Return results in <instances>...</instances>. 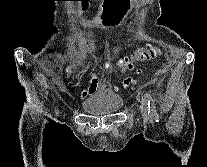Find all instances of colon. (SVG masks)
Masks as SVG:
<instances>
[{
    "label": "colon",
    "mask_w": 207,
    "mask_h": 167,
    "mask_svg": "<svg viewBox=\"0 0 207 167\" xmlns=\"http://www.w3.org/2000/svg\"><path fill=\"white\" fill-rule=\"evenodd\" d=\"M155 54V50L151 46H147L146 48L138 49L134 54L126 57L124 60L121 61V64H124L126 67L131 65V62L135 58H149Z\"/></svg>",
    "instance_id": "1"
}]
</instances>
